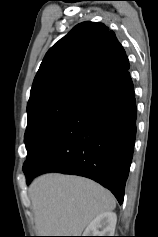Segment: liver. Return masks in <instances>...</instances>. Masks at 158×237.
<instances>
[{
	"label": "liver",
	"instance_id": "1",
	"mask_svg": "<svg viewBox=\"0 0 158 237\" xmlns=\"http://www.w3.org/2000/svg\"><path fill=\"white\" fill-rule=\"evenodd\" d=\"M29 196L38 236H80L92 220L116 206L111 192L96 182L56 173L36 178Z\"/></svg>",
	"mask_w": 158,
	"mask_h": 237
}]
</instances>
